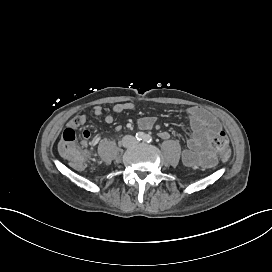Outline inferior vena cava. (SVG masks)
Returning <instances> with one entry per match:
<instances>
[{"mask_svg":"<svg viewBox=\"0 0 272 272\" xmlns=\"http://www.w3.org/2000/svg\"><path fill=\"white\" fill-rule=\"evenodd\" d=\"M124 139H125L126 141L131 142V144H134V143H135V138H134L133 136L127 135V136L124 137Z\"/></svg>","mask_w":272,"mask_h":272,"instance_id":"602c4592","label":"inferior vena cava"}]
</instances>
